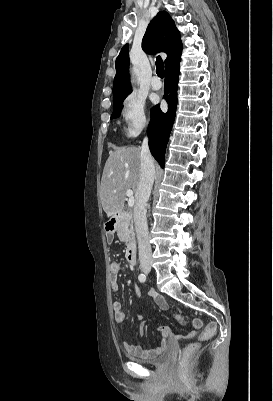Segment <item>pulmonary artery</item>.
<instances>
[{
	"instance_id": "1",
	"label": "pulmonary artery",
	"mask_w": 273,
	"mask_h": 401,
	"mask_svg": "<svg viewBox=\"0 0 273 401\" xmlns=\"http://www.w3.org/2000/svg\"><path fill=\"white\" fill-rule=\"evenodd\" d=\"M150 86H151L152 89L158 90L160 88V86H161V83H160L159 80H152L151 83H150Z\"/></svg>"
}]
</instances>
